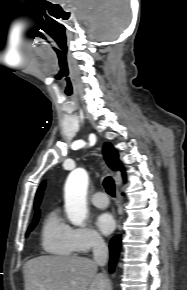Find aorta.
Instances as JSON below:
<instances>
[{"instance_id": "762f6f07", "label": "aorta", "mask_w": 187, "mask_h": 290, "mask_svg": "<svg viewBox=\"0 0 187 290\" xmlns=\"http://www.w3.org/2000/svg\"><path fill=\"white\" fill-rule=\"evenodd\" d=\"M88 174L84 169L72 171L65 183V210L70 222L75 226H84L87 216Z\"/></svg>"}]
</instances>
